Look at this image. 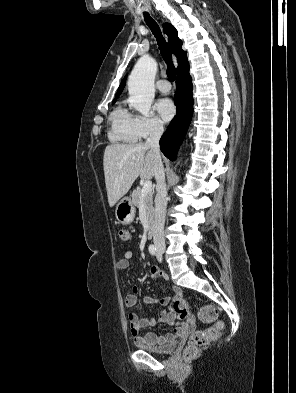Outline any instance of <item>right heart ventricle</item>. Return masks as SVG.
Instances as JSON below:
<instances>
[{
  "label": "right heart ventricle",
  "instance_id": "e07e8e85",
  "mask_svg": "<svg viewBox=\"0 0 296 393\" xmlns=\"http://www.w3.org/2000/svg\"><path fill=\"white\" fill-rule=\"evenodd\" d=\"M109 138L113 142L135 143L139 137L136 132L134 116L119 106L111 115Z\"/></svg>",
  "mask_w": 296,
  "mask_h": 393
}]
</instances>
